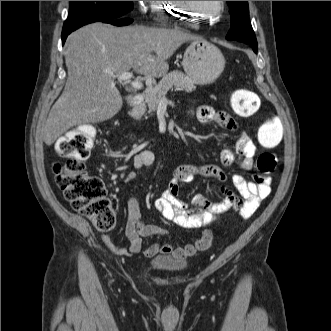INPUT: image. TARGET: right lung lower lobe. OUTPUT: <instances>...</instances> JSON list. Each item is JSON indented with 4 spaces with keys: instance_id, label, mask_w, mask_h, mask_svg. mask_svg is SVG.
<instances>
[{
    "instance_id": "98d812e1",
    "label": "right lung lower lobe",
    "mask_w": 331,
    "mask_h": 331,
    "mask_svg": "<svg viewBox=\"0 0 331 331\" xmlns=\"http://www.w3.org/2000/svg\"><path fill=\"white\" fill-rule=\"evenodd\" d=\"M132 19H129V18H119V19H107V20H102L101 22H104V23H110L112 25H115V26H126V25H129L132 23ZM71 33V32H70ZM70 33H67V34H62V43L64 44L67 36L70 34Z\"/></svg>"
}]
</instances>
